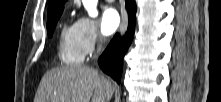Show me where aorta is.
Segmentation results:
<instances>
[{"label":"aorta","instance_id":"1","mask_svg":"<svg viewBox=\"0 0 221 102\" xmlns=\"http://www.w3.org/2000/svg\"><path fill=\"white\" fill-rule=\"evenodd\" d=\"M82 2L90 17H96L98 15V0H82Z\"/></svg>","mask_w":221,"mask_h":102}]
</instances>
